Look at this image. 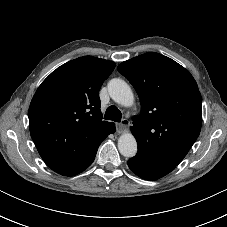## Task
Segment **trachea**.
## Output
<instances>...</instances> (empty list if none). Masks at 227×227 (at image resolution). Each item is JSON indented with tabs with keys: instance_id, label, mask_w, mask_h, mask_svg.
<instances>
[{
	"instance_id": "trachea-1",
	"label": "trachea",
	"mask_w": 227,
	"mask_h": 227,
	"mask_svg": "<svg viewBox=\"0 0 227 227\" xmlns=\"http://www.w3.org/2000/svg\"><path fill=\"white\" fill-rule=\"evenodd\" d=\"M122 118L121 111L116 106H110L107 108L104 119L120 122Z\"/></svg>"
}]
</instances>
